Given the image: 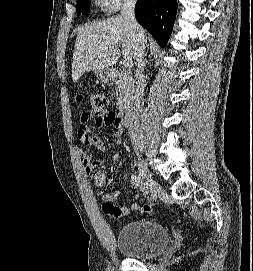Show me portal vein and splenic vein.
Segmentation results:
<instances>
[{
	"instance_id": "18ae733b",
	"label": "portal vein and splenic vein",
	"mask_w": 253,
	"mask_h": 271,
	"mask_svg": "<svg viewBox=\"0 0 253 271\" xmlns=\"http://www.w3.org/2000/svg\"><path fill=\"white\" fill-rule=\"evenodd\" d=\"M123 65H124V67H126V68H130V67L133 66V62H132V60H130V59H126V60L123 61Z\"/></svg>"
}]
</instances>
